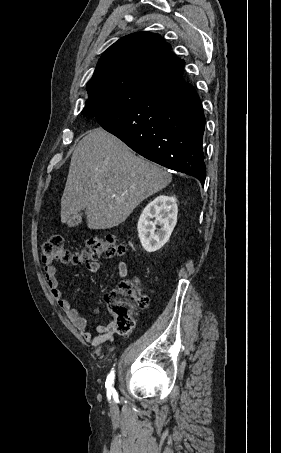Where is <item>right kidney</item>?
I'll return each instance as SVG.
<instances>
[{
	"instance_id": "ca27d5eb",
	"label": "right kidney",
	"mask_w": 281,
	"mask_h": 453,
	"mask_svg": "<svg viewBox=\"0 0 281 453\" xmlns=\"http://www.w3.org/2000/svg\"><path fill=\"white\" fill-rule=\"evenodd\" d=\"M177 198L160 194L151 200L138 220V233L141 245L147 253L161 249L167 241L177 222ZM155 220H151L154 218ZM159 224L160 229H156Z\"/></svg>"
}]
</instances>
